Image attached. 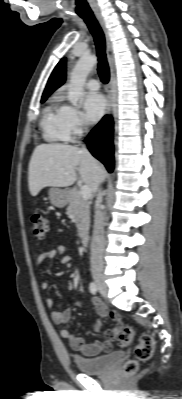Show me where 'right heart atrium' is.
Masks as SVG:
<instances>
[{
    "instance_id": "d8ad5b80",
    "label": "right heart atrium",
    "mask_w": 182,
    "mask_h": 399,
    "mask_svg": "<svg viewBox=\"0 0 182 399\" xmlns=\"http://www.w3.org/2000/svg\"><path fill=\"white\" fill-rule=\"evenodd\" d=\"M66 124L71 136L81 135L85 130L82 113L71 106H66Z\"/></svg>"
}]
</instances>
